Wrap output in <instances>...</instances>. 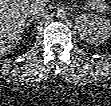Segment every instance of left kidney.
Instances as JSON below:
<instances>
[{
  "label": "left kidney",
  "mask_w": 111,
  "mask_h": 106,
  "mask_svg": "<svg viewBox=\"0 0 111 106\" xmlns=\"http://www.w3.org/2000/svg\"><path fill=\"white\" fill-rule=\"evenodd\" d=\"M76 26L81 38L92 45L103 43L111 34L109 20L94 14H80L76 18Z\"/></svg>",
  "instance_id": "5707ae66"
}]
</instances>
